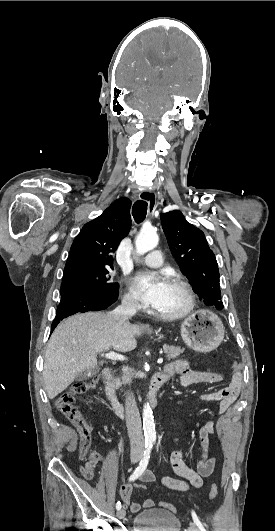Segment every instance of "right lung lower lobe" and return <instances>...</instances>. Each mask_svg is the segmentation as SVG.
Masks as SVG:
<instances>
[{"label":"right lung lower lobe","mask_w":275,"mask_h":531,"mask_svg":"<svg viewBox=\"0 0 275 531\" xmlns=\"http://www.w3.org/2000/svg\"><path fill=\"white\" fill-rule=\"evenodd\" d=\"M118 297L111 300H101L89 292L82 290H68L61 292V300L57 308L56 317L51 326V332L64 318L75 313L97 311L108 308Z\"/></svg>","instance_id":"right-lung-lower-lobe-1"}]
</instances>
